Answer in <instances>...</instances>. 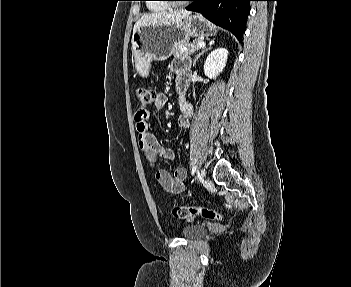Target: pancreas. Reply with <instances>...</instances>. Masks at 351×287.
<instances>
[{"instance_id": "pancreas-1", "label": "pancreas", "mask_w": 351, "mask_h": 287, "mask_svg": "<svg viewBox=\"0 0 351 287\" xmlns=\"http://www.w3.org/2000/svg\"><path fill=\"white\" fill-rule=\"evenodd\" d=\"M202 40L195 39L192 42L183 41L177 43L173 48L174 58L188 57L200 49L198 42Z\"/></svg>"}]
</instances>
